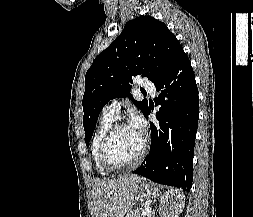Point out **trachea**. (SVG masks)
I'll use <instances>...</instances> for the list:
<instances>
[{
	"instance_id": "trachea-1",
	"label": "trachea",
	"mask_w": 253,
	"mask_h": 217,
	"mask_svg": "<svg viewBox=\"0 0 253 217\" xmlns=\"http://www.w3.org/2000/svg\"><path fill=\"white\" fill-rule=\"evenodd\" d=\"M142 93H143V94H146V92H145V91H142Z\"/></svg>"
}]
</instances>
